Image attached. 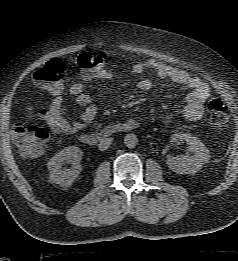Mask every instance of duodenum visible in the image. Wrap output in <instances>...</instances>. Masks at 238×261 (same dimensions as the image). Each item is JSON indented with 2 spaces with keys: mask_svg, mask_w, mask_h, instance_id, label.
<instances>
[{
  "mask_svg": "<svg viewBox=\"0 0 238 261\" xmlns=\"http://www.w3.org/2000/svg\"><path fill=\"white\" fill-rule=\"evenodd\" d=\"M135 124L131 121L125 123H117L108 125L100 130L81 134L79 140L89 146H95L105 141L117 133L129 132L134 128Z\"/></svg>",
  "mask_w": 238,
  "mask_h": 261,
  "instance_id": "410a0bca",
  "label": "duodenum"
}]
</instances>
